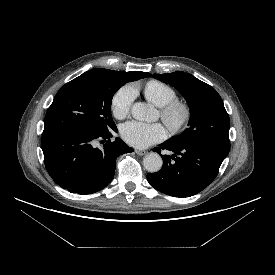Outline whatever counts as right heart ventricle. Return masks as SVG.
I'll use <instances>...</instances> for the list:
<instances>
[{
  "label": "right heart ventricle",
  "instance_id": "right-heart-ventricle-1",
  "mask_svg": "<svg viewBox=\"0 0 275 275\" xmlns=\"http://www.w3.org/2000/svg\"><path fill=\"white\" fill-rule=\"evenodd\" d=\"M144 95L148 101L162 107L177 97L175 90L165 82L150 80L144 87Z\"/></svg>",
  "mask_w": 275,
  "mask_h": 275
}]
</instances>
